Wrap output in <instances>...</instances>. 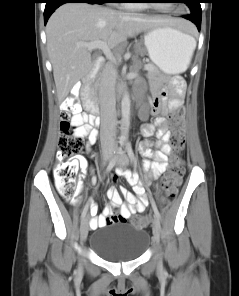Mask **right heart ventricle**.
<instances>
[{
    "instance_id": "right-heart-ventricle-1",
    "label": "right heart ventricle",
    "mask_w": 239,
    "mask_h": 296,
    "mask_svg": "<svg viewBox=\"0 0 239 296\" xmlns=\"http://www.w3.org/2000/svg\"><path fill=\"white\" fill-rule=\"evenodd\" d=\"M119 6L122 8L134 9V8H138L139 5L136 3H130L129 1L124 0V1H121Z\"/></svg>"
}]
</instances>
